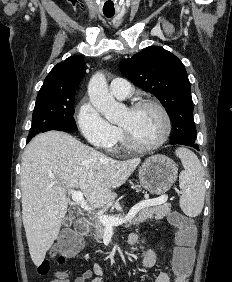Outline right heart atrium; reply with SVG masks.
<instances>
[{
    "label": "right heart atrium",
    "mask_w": 232,
    "mask_h": 282,
    "mask_svg": "<svg viewBox=\"0 0 232 282\" xmlns=\"http://www.w3.org/2000/svg\"><path fill=\"white\" fill-rule=\"evenodd\" d=\"M76 122L81 134L91 145L106 151L114 149L119 129L109 123L86 98L77 107Z\"/></svg>",
    "instance_id": "d8ad5b80"
}]
</instances>
